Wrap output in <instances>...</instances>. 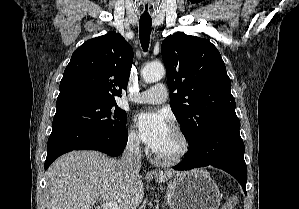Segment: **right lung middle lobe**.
Instances as JSON below:
<instances>
[{
  "mask_svg": "<svg viewBox=\"0 0 299 209\" xmlns=\"http://www.w3.org/2000/svg\"><path fill=\"white\" fill-rule=\"evenodd\" d=\"M56 108L54 119L69 118L110 132L123 130L127 122L126 112L115 102L74 101L56 104Z\"/></svg>",
  "mask_w": 299,
  "mask_h": 209,
  "instance_id": "dd1d6c3e",
  "label": "right lung middle lobe"
}]
</instances>
